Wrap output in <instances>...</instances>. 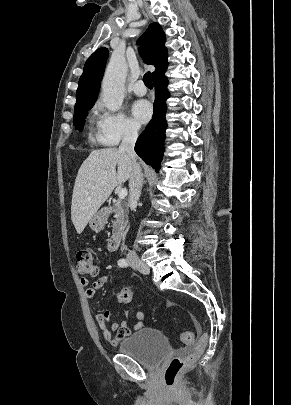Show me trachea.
Returning a JSON list of instances; mask_svg holds the SVG:
<instances>
[{"instance_id": "obj_1", "label": "trachea", "mask_w": 291, "mask_h": 405, "mask_svg": "<svg viewBox=\"0 0 291 405\" xmlns=\"http://www.w3.org/2000/svg\"><path fill=\"white\" fill-rule=\"evenodd\" d=\"M143 81H144L145 85H146L148 88H152V87H153V83H152V80H151V74H150V72H146V73L144 74V76H143Z\"/></svg>"}]
</instances>
